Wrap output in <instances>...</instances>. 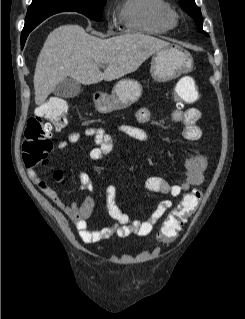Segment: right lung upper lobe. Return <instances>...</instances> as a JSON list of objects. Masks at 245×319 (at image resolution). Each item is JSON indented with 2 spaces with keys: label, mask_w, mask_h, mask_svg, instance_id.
Listing matches in <instances>:
<instances>
[{
  "label": "right lung upper lobe",
  "mask_w": 245,
  "mask_h": 319,
  "mask_svg": "<svg viewBox=\"0 0 245 319\" xmlns=\"http://www.w3.org/2000/svg\"><path fill=\"white\" fill-rule=\"evenodd\" d=\"M66 0H33L26 15L23 31H30L47 17L63 12L67 8L63 7Z\"/></svg>",
  "instance_id": "cb5924a9"
}]
</instances>
